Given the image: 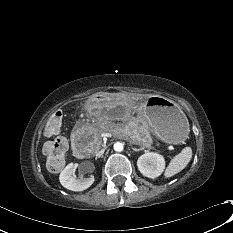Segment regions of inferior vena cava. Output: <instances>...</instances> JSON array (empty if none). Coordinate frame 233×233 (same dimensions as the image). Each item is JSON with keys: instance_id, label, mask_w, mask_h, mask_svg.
<instances>
[{"instance_id": "1", "label": "inferior vena cava", "mask_w": 233, "mask_h": 233, "mask_svg": "<svg viewBox=\"0 0 233 233\" xmlns=\"http://www.w3.org/2000/svg\"><path fill=\"white\" fill-rule=\"evenodd\" d=\"M104 151H105L104 149L98 151V152L96 153V156H100L102 153H104Z\"/></svg>"}]
</instances>
